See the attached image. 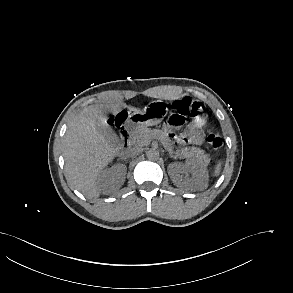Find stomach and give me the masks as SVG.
<instances>
[{"label":"stomach","mask_w":293,"mask_h":293,"mask_svg":"<svg viewBox=\"0 0 293 293\" xmlns=\"http://www.w3.org/2000/svg\"><path fill=\"white\" fill-rule=\"evenodd\" d=\"M168 112L164 101L150 102L142 111H135L128 117L127 124L134 130L139 127L159 124Z\"/></svg>","instance_id":"stomach-1"}]
</instances>
